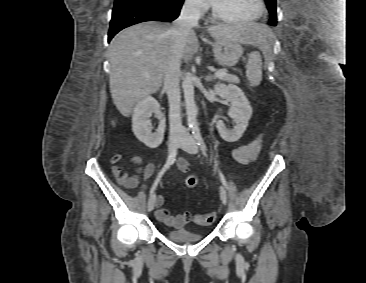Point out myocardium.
Instances as JSON below:
<instances>
[{"instance_id": "1", "label": "myocardium", "mask_w": 366, "mask_h": 283, "mask_svg": "<svg viewBox=\"0 0 366 283\" xmlns=\"http://www.w3.org/2000/svg\"><path fill=\"white\" fill-rule=\"evenodd\" d=\"M258 4H259V10H258L257 14L250 18H245V19L234 18V17H230V16H227V15L221 13L216 8V6L213 2L211 3V11H212L214 18L219 21L226 22V23H233V24H245V23H251V22L257 21L264 15L265 10H266L265 1L258 0Z\"/></svg>"}]
</instances>
